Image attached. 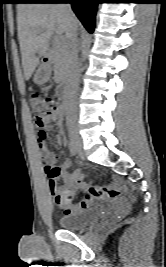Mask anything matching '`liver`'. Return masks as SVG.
I'll return each mask as SVG.
<instances>
[{
    "label": "liver",
    "mask_w": 166,
    "mask_h": 267,
    "mask_svg": "<svg viewBox=\"0 0 166 267\" xmlns=\"http://www.w3.org/2000/svg\"><path fill=\"white\" fill-rule=\"evenodd\" d=\"M17 30L22 57L23 78L29 80L39 57L44 56L56 30L62 38L68 30L66 14L61 5L21 3L17 5ZM74 23L78 27L75 17Z\"/></svg>",
    "instance_id": "6515ba94"
}]
</instances>
